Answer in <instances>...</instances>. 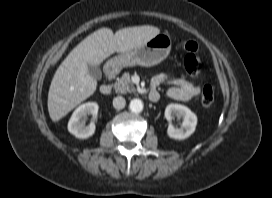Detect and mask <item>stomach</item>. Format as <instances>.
Segmentation results:
<instances>
[{
    "mask_svg": "<svg viewBox=\"0 0 272 198\" xmlns=\"http://www.w3.org/2000/svg\"><path fill=\"white\" fill-rule=\"evenodd\" d=\"M172 40L168 34H158L144 45L123 52L107 61L105 68L120 71L136 65L151 67L161 63L170 53Z\"/></svg>",
    "mask_w": 272,
    "mask_h": 198,
    "instance_id": "0dacf381",
    "label": "stomach"
}]
</instances>
